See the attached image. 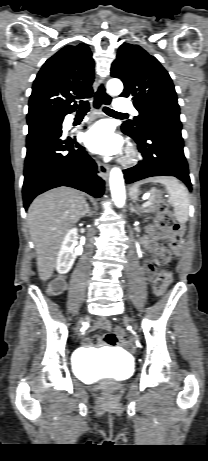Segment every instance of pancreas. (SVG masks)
<instances>
[{
    "label": "pancreas",
    "mask_w": 208,
    "mask_h": 461,
    "mask_svg": "<svg viewBox=\"0 0 208 461\" xmlns=\"http://www.w3.org/2000/svg\"><path fill=\"white\" fill-rule=\"evenodd\" d=\"M152 201V204L148 205L147 211H154L159 208L158 205H155L154 203L156 202L154 198L150 199Z\"/></svg>",
    "instance_id": "obj_1"
}]
</instances>
